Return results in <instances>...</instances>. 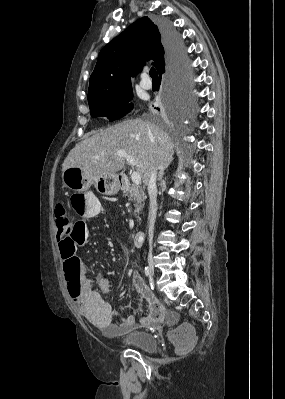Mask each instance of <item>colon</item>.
<instances>
[{"label":"colon","instance_id":"1","mask_svg":"<svg viewBox=\"0 0 285 399\" xmlns=\"http://www.w3.org/2000/svg\"><path fill=\"white\" fill-rule=\"evenodd\" d=\"M88 195L75 194L71 197L70 203L76 212L83 210ZM55 224L62 232L60 240L61 258L64 262L65 277L68 282V290L70 294L78 293V277L71 271L70 264L76 258L77 247L88 239V232L82 223L75 221V217L68 213L64 208H60L56 213ZM171 340L178 353L189 351L195 343V333L190 327H182L170 333Z\"/></svg>","mask_w":285,"mask_h":399}]
</instances>
